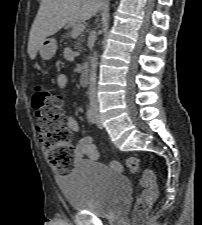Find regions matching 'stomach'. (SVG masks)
<instances>
[{"label": "stomach", "mask_w": 202, "mask_h": 225, "mask_svg": "<svg viewBox=\"0 0 202 225\" xmlns=\"http://www.w3.org/2000/svg\"><path fill=\"white\" fill-rule=\"evenodd\" d=\"M56 51L57 42L53 38H46L39 48V54L43 60H50L51 58H53Z\"/></svg>", "instance_id": "obj_1"}]
</instances>
